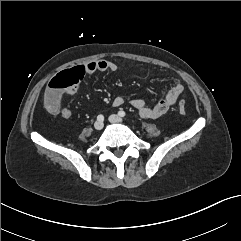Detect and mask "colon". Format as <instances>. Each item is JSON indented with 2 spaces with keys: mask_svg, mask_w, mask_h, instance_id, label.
Returning a JSON list of instances; mask_svg holds the SVG:
<instances>
[{
  "mask_svg": "<svg viewBox=\"0 0 241 241\" xmlns=\"http://www.w3.org/2000/svg\"><path fill=\"white\" fill-rule=\"evenodd\" d=\"M87 75L86 68L78 64L75 68L57 74L48 84L45 93V104L53 107L55 102L76 83L83 80ZM180 114L186 113V103L180 101L178 105Z\"/></svg>",
  "mask_w": 241,
  "mask_h": 241,
  "instance_id": "colon-1",
  "label": "colon"
}]
</instances>
